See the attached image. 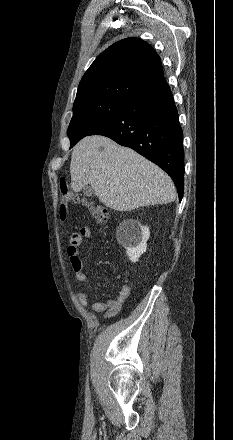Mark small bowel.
<instances>
[{"label": "small bowel", "mask_w": 233, "mask_h": 440, "mask_svg": "<svg viewBox=\"0 0 233 440\" xmlns=\"http://www.w3.org/2000/svg\"><path fill=\"white\" fill-rule=\"evenodd\" d=\"M93 233L90 227H82L76 233L71 236L67 253L70 257V263L74 271L76 280L87 283L88 277L85 273L84 266L80 259L81 244L84 239H90ZM130 288L127 285L119 286V293L113 298H106L101 301H96L92 304L91 310L94 314L105 312L106 317H113L119 313L121 307L127 297L129 296ZM76 297L82 307H86L88 304L87 295L83 292H78Z\"/></svg>", "instance_id": "c3829d8e"}]
</instances>
